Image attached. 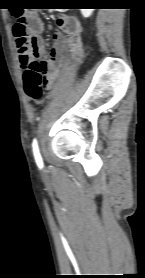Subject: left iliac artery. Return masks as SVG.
<instances>
[{
	"instance_id": "44dca946",
	"label": "left iliac artery",
	"mask_w": 145,
	"mask_h": 278,
	"mask_svg": "<svg viewBox=\"0 0 145 278\" xmlns=\"http://www.w3.org/2000/svg\"><path fill=\"white\" fill-rule=\"evenodd\" d=\"M32 147H33V153H34V157H35L36 162L41 163L42 158H41V155L39 153L38 144H37L36 139L33 140Z\"/></svg>"
}]
</instances>
